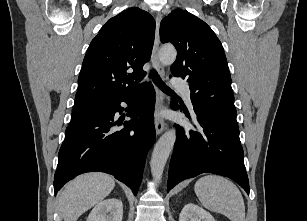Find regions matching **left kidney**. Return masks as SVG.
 I'll return each instance as SVG.
<instances>
[{"label": "left kidney", "mask_w": 307, "mask_h": 221, "mask_svg": "<svg viewBox=\"0 0 307 221\" xmlns=\"http://www.w3.org/2000/svg\"><path fill=\"white\" fill-rule=\"evenodd\" d=\"M179 221H216L213 216L204 210L203 208L197 206L196 204L189 203L182 209Z\"/></svg>", "instance_id": "1"}]
</instances>
